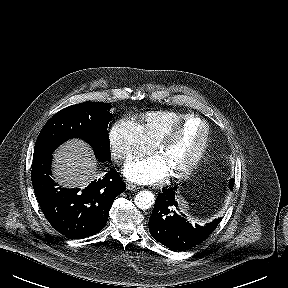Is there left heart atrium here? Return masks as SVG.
Segmentation results:
<instances>
[{"label": "left heart atrium", "mask_w": 288, "mask_h": 288, "mask_svg": "<svg viewBox=\"0 0 288 288\" xmlns=\"http://www.w3.org/2000/svg\"><path fill=\"white\" fill-rule=\"evenodd\" d=\"M125 177L138 184H153L162 181L168 175V169L159 155L126 164Z\"/></svg>", "instance_id": "39dd6f15"}]
</instances>
